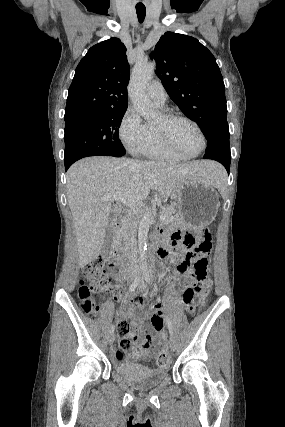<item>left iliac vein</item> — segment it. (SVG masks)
I'll return each mask as SVG.
<instances>
[{
    "instance_id": "1",
    "label": "left iliac vein",
    "mask_w": 285,
    "mask_h": 427,
    "mask_svg": "<svg viewBox=\"0 0 285 427\" xmlns=\"http://www.w3.org/2000/svg\"><path fill=\"white\" fill-rule=\"evenodd\" d=\"M142 281V280H141ZM142 283H143V281H142ZM169 347H170V349L172 350V351H175L176 350V343H175V341H174V339L173 338H170V340H169Z\"/></svg>"
}]
</instances>
